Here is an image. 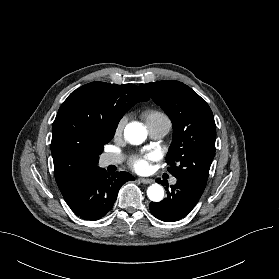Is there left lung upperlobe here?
<instances>
[{
	"instance_id": "5c2ea615",
	"label": "left lung upper lobe",
	"mask_w": 279,
	"mask_h": 279,
	"mask_svg": "<svg viewBox=\"0 0 279 279\" xmlns=\"http://www.w3.org/2000/svg\"><path fill=\"white\" fill-rule=\"evenodd\" d=\"M173 124L166 162L177 179L205 188L215 155L216 125L208 104L190 87L164 80L140 85Z\"/></svg>"
}]
</instances>
